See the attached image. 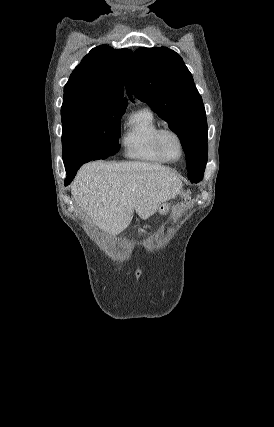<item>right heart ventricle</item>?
<instances>
[{
    "label": "right heart ventricle",
    "instance_id": "1",
    "mask_svg": "<svg viewBox=\"0 0 274 427\" xmlns=\"http://www.w3.org/2000/svg\"><path fill=\"white\" fill-rule=\"evenodd\" d=\"M160 125L148 108L134 112L121 137V146L126 158L150 164H164L155 146V136Z\"/></svg>",
    "mask_w": 274,
    "mask_h": 427
}]
</instances>
